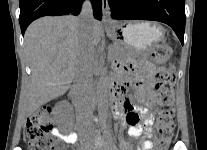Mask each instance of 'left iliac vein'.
I'll list each match as a JSON object with an SVG mask.
<instances>
[{"label": "left iliac vein", "instance_id": "1", "mask_svg": "<svg viewBox=\"0 0 207 150\" xmlns=\"http://www.w3.org/2000/svg\"><path fill=\"white\" fill-rule=\"evenodd\" d=\"M90 150H95L88 148ZM100 150H117L115 144L112 141H109L106 145H104Z\"/></svg>", "mask_w": 207, "mask_h": 150}]
</instances>
